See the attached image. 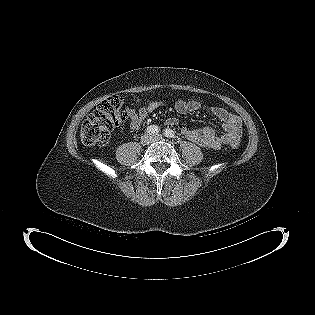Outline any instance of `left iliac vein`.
<instances>
[{
    "label": "left iliac vein",
    "mask_w": 315,
    "mask_h": 315,
    "mask_svg": "<svg viewBox=\"0 0 315 315\" xmlns=\"http://www.w3.org/2000/svg\"><path fill=\"white\" fill-rule=\"evenodd\" d=\"M162 139H163V137L161 135H159V134L152 136V141L153 142L154 141H159V140H162Z\"/></svg>",
    "instance_id": "1"
}]
</instances>
